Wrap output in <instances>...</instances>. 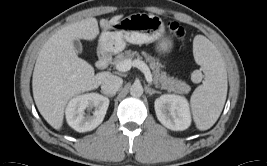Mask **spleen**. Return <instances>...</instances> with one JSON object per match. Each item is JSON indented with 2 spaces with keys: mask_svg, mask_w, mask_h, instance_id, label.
<instances>
[{
  "mask_svg": "<svg viewBox=\"0 0 267 166\" xmlns=\"http://www.w3.org/2000/svg\"><path fill=\"white\" fill-rule=\"evenodd\" d=\"M193 54L205 79L193 92L190 104L196 127L204 131L215 124L223 110L227 96V73L220 53L206 37L197 35L194 38Z\"/></svg>",
  "mask_w": 267,
  "mask_h": 166,
  "instance_id": "1",
  "label": "spleen"
}]
</instances>
